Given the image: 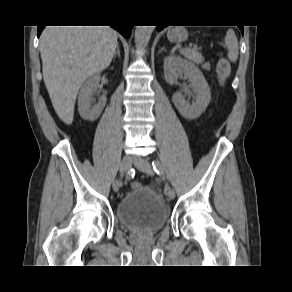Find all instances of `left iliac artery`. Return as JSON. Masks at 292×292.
Instances as JSON below:
<instances>
[{
    "instance_id": "1",
    "label": "left iliac artery",
    "mask_w": 292,
    "mask_h": 292,
    "mask_svg": "<svg viewBox=\"0 0 292 292\" xmlns=\"http://www.w3.org/2000/svg\"><path fill=\"white\" fill-rule=\"evenodd\" d=\"M152 166H153L154 171L158 175H160L162 177L165 176L164 168H163L162 164L159 161H157V160L153 161L152 162ZM169 189H170V186L168 185V183H166L165 184V188H164L165 193H167L169 191Z\"/></svg>"
}]
</instances>
